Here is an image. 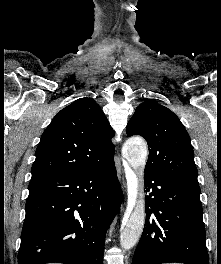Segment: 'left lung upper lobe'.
<instances>
[{"instance_id":"5c2ea615","label":"left lung upper lobe","mask_w":221,"mask_h":264,"mask_svg":"<svg viewBox=\"0 0 221 264\" xmlns=\"http://www.w3.org/2000/svg\"><path fill=\"white\" fill-rule=\"evenodd\" d=\"M126 133L141 135L148 143L145 172L199 186L190 137L171 110L154 100L144 101L128 122Z\"/></svg>"}]
</instances>
